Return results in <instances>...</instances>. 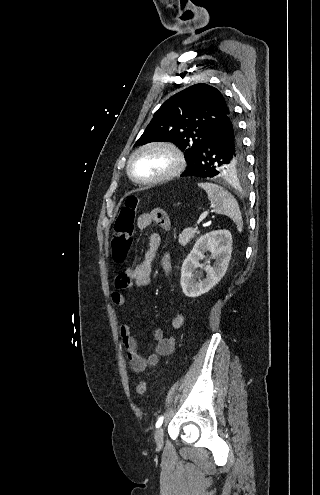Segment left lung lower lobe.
Masks as SVG:
<instances>
[{
  "mask_svg": "<svg viewBox=\"0 0 320 495\" xmlns=\"http://www.w3.org/2000/svg\"><path fill=\"white\" fill-rule=\"evenodd\" d=\"M241 139L232 113L220 122L200 147L181 176L214 177L224 161L241 151Z\"/></svg>",
  "mask_w": 320,
  "mask_h": 495,
  "instance_id": "obj_1",
  "label": "left lung lower lobe"
}]
</instances>
